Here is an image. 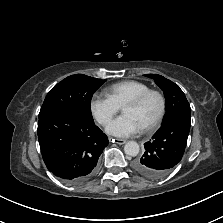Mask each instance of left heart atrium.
<instances>
[{"mask_svg":"<svg viewBox=\"0 0 223 223\" xmlns=\"http://www.w3.org/2000/svg\"><path fill=\"white\" fill-rule=\"evenodd\" d=\"M140 129L134 118L128 115L116 118L106 128L109 134L120 138L130 137Z\"/></svg>","mask_w":223,"mask_h":223,"instance_id":"left-heart-atrium-1","label":"left heart atrium"}]
</instances>
